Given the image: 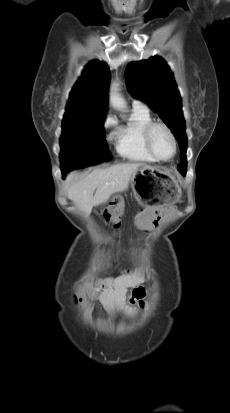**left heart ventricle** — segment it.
Wrapping results in <instances>:
<instances>
[{
  "instance_id": "b2bd125f",
  "label": "left heart ventricle",
  "mask_w": 230,
  "mask_h": 413,
  "mask_svg": "<svg viewBox=\"0 0 230 413\" xmlns=\"http://www.w3.org/2000/svg\"><path fill=\"white\" fill-rule=\"evenodd\" d=\"M152 146L156 154L163 159L170 158L174 151L173 142L169 134L162 127H156L153 130Z\"/></svg>"
}]
</instances>
